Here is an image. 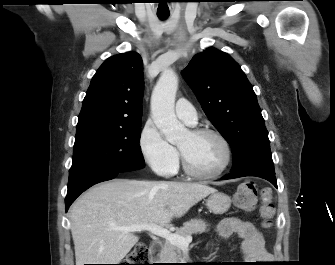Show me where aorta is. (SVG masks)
<instances>
[{
  "mask_svg": "<svg viewBox=\"0 0 335 265\" xmlns=\"http://www.w3.org/2000/svg\"><path fill=\"white\" fill-rule=\"evenodd\" d=\"M177 88V75L171 69H166L159 77L151 97L152 119L170 143L178 141L186 132L174 111Z\"/></svg>",
  "mask_w": 335,
  "mask_h": 265,
  "instance_id": "obj_1",
  "label": "aorta"
}]
</instances>
